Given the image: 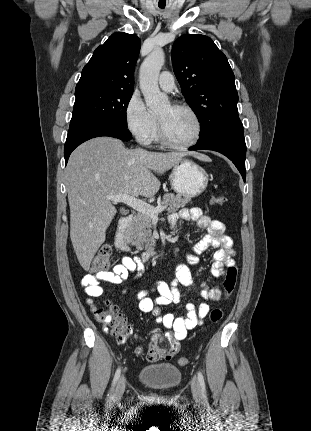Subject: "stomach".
<instances>
[{"label":"stomach","instance_id":"1","mask_svg":"<svg viewBox=\"0 0 311 431\" xmlns=\"http://www.w3.org/2000/svg\"><path fill=\"white\" fill-rule=\"evenodd\" d=\"M169 180L170 186L177 196H188V198H197L203 194L209 182L204 168L192 160H181L179 164H176Z\"/></svg>","mask_w":311,"mask_h":431}]
</instances>
